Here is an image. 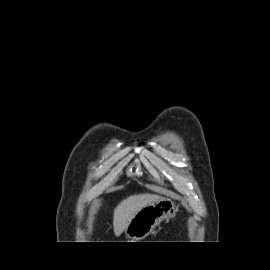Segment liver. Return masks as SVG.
I'll return each instance as SVG.
<instances>
[{"instance_id": "obj_1", "label": "liver", "mask_w": 270, "mask_h": 270, "mask_svg": "<svg viewBox=\"0 0 270 270\" xmlns=\"http://www.w3.org/2000/svg\"><path fill=\"white\" fill-rule=\"evenodd\" d=\"M161 198L159 195L144 193L131 195L121 201L113 213V230L120 236L133 217L145 206Z\"/></svg>"}]
</instances>
